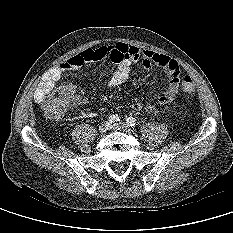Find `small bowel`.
I'll return each instance as SVG.
<instances>
[{
    "label": "small bowel",
    "mask_w": 233,
    "mask_h": 233,
    "mask_svg": "<svg viewBox=\"0 0 233 233\" xmlns=\"http://www.w3.org/2000/svg\"><path fill=\"white\" fill-rule=\"evenodd\" d=\"M104 59H110L117 64V68L113 71L109 82L110 87L115 88L124 84L128 80L131 65L134 62L141 61L145 69H151L154 65H157L164 70L166 75L167 83L157 97L158 104H169L176 98L179 88L180 70L175 60L150 50H140L135 46L116 43L114 45L85 49L53 68L48 78L37 88L35 99L41 102L45 96L49 95L65 72L73 71L87 63ZM74 101L78 104H82L85 102V99L82 97H75ZM132 107L135 110L152 111L154 109L153 105H147L141 102L133 103Z\"/></svg>",
    "instance_id": "obj_1"
}]
</instances>
